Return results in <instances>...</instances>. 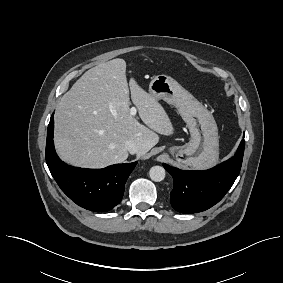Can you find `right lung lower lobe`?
Here are the masks:
<instances>
[{
	"instance_id": "obj_1",
	"label": "right lung lower lobe",
	"mask_w": 283,
	"mask_h": 283,
	"mask_svg": "<svg viewBox=\"0 0 283 283\" xmlns=\"http://www.w3.org/2000/svg\"><path fill=\"white\" fill-rule=\"evenodd\" d=\"M53 129L52 115L47 130L46 163L62 191L77 205L91 211L105 212L115 207L123 197L125 182L137 162L103 169L68 166L56 155Z\"/></svg>"
}]
</instances>
